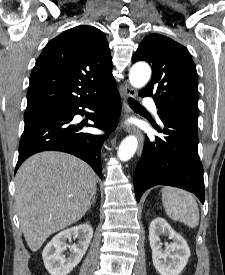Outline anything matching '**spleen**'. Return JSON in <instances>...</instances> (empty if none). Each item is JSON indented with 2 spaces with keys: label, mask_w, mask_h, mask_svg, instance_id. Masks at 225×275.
Instances as JSON below:
<instances>
[{
  "label": "spleen",
  "mask_w": 225,
  "mask_h": 275,
  "mask_svg": "<svg viewBox=\"0 0 225 275\" xmlns=\"http://www.w3.org/2000/svg\"><path fill=\"white\" fill-rule=\"evenodd\" d=\"M162 204L170 219L182 222L190 228L198 226L199 208L189 192L174 187H164Z\"/></svg>",
  "instance_id": "3e777b00"
}]
</instances>
